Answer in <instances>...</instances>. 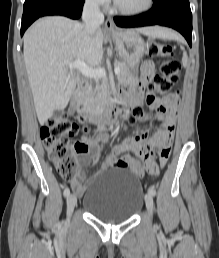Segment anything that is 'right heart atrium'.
<instances>
[{
  "label": "right heart atrium",
  "instance_id": "d8ad5b80",
  "mask_svg": "<svg viewBox=\"0 0 219 258\" xmlns=\"http://www.w3.org/2000/svg\"><path fill=\"white\" fill-rule=\"evenodd\" d=\"M86 2L94 7H105L109 0H86Z\"/></svg>",
  "mask_w": 219,
  "mask_h": 258
}]
</instances>
